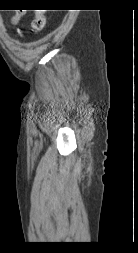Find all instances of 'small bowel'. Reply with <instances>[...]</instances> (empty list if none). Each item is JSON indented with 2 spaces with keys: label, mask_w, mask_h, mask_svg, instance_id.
Listing matches in <instances>:
<instances>
[{
  "label": "small bowel",
  "mask_w": 138,
  "mask_h": 253,
  "mask_svg": "<svg viewBox=\"0 0 138 253\" xmlns=\"http://www.w3.org/2000/svg\"><path fill=\"white\" fill-rule=\"evenodd\" d=\"M17 19H18V16H17V17H15L14 21H17ZM18 35H20V36H21V33H20V32H18Z\"/></svg>",
  "instance_id": "obj_1"
}]
</instances>
